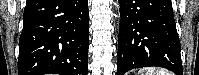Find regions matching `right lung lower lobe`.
<instances>
[{
	"mask_svg": "<svg viewBox=\"0 0 199 75\" xmlns=\"http://www.w3.org/2000/svg\"><path fill=\"white\" fill-rule=\"evenodd\" d=\"M18 75H87L88 0H27Z\"/></svg>",
	"mask_w": 199,
	"mask_h": 75,
	"instance_id": "98d812e1",
	"label": "right lung lower lobe"
}]
</instances>
